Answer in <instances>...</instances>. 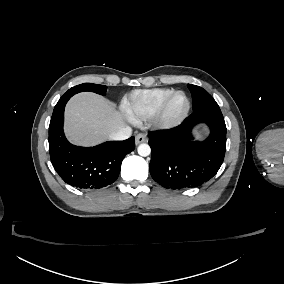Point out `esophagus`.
<instances>
[{
  "instance_id": "esophagus-1",
  "label": "esophagus",
  "mask_w": 284,
  "mask_h": 284,
  "mask_svg": "<svg viewBox=\"0 0 284 284\" xmlns=\"http://www.w3.org/2000/svg\"><path fill=\"white\" fill-rule=\"evenodd\" d=\"M147 139V135L144 134V133H139L135 136V143L136 145L142 143V142H145Z\"/></svg>"
}]
</instances>
